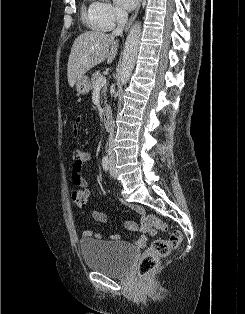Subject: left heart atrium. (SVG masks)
I'll return each instance as SVG.
<instances>
[{
    "instance_id": "obj_1",
    "label": "left heart atrium",
    "mask_w": 245,
    "mask_h": 314,
    "mask_svg": "<svg viewBox=\"0 0 245 314\" xmlns=\"http://www.w3.org/2000/svg\"><path fill=\"white\" fill-rule=\"evenodd\" d=\"M117 5L123 10H131L138 0H115Z\"/></svg>"
}]
</instances>
